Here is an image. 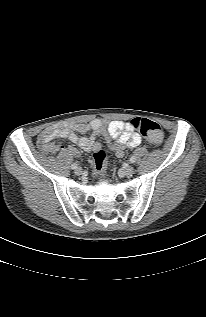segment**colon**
Listing matches in <instances>:
<instances>
[{
  "label": "colon",
  "mask_w": 206,
  "mask_h": 317,
  "mask_svg": "<svg viewBox=\"0 0 206 317\" xmlns=\"http://www.w3.org/2000/svg\"><path fill=\"white\" fill-rule=\"evenodd\" d=\"M134 129L138 130L150 143L158 145L163 140V131L160 125L147 118H135L131 121ZM94 168L98 176L103 175L106 167V153L99 149L94 152Z\"/></svg>",
  "instance_id": "obj_1"
}]
</instances>
